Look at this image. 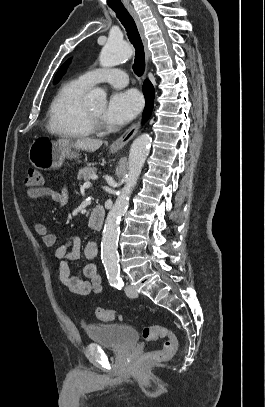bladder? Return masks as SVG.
<instances>
[{"mask_svg":"<svg viewBox=\"0 0 265 407\" xmlns=\"http://www.w3.org/2000/svg\"><path fill=\"white\" fill-rule=\"evenodd\" d=\"M85 332L91 341L113 349H123L139 339L138 331L130 325L89 324Z\"/></svg>","mask_w":265,"mask_h":407,"instance_id":"31cf9c89","label":"bladder"}]
</instances>
